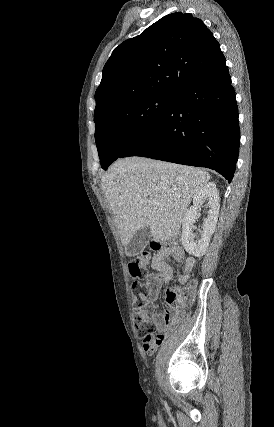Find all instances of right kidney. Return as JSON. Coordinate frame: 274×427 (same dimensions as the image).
<instances>
[{
    "mask_svg": "<svg viewBox=\"0 0 274 427\" xmlns=\"http://www.w3.org/2000/svg\"><path fill=\"white\" fill-rule=\"evenodd\" d=\"M203 200H207L210 210L207 217H204V227L200 239H194L193 223L197 219V210ZM219 202V192L213 182L203 184L194 194L193 206L190 210H187L183 217L181 235L182 245L190 255H195V257L205 255L209 247V241L215 231L220 210Z\"/></svg>",
    "mask_w": 274,
    "mask_h": 427,
    "instance_id": "right-kidney-1",
    "label": "right kidney"
}]
</instances>
